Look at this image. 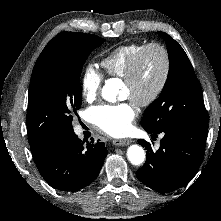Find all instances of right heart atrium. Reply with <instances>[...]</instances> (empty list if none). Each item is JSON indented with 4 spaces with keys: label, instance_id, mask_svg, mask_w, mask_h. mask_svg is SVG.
I'll return each instance as SVG.
<instances>
[{
    "label": "right heart atrium",
    "instance_id": "right-heart-atrium-1",
    "mask_svg": "<svg viewBox=\"0 0 221 221\" xmlns=\"http://www.w3.org/2000/svg\"><path fill=\"white\" fill-rule=\"evenodd\" d=\"M102 74L91 64L85 66L81 75V93L87 102L94 101L101 90Z\"/></svg>",
    "mask_w": 221,
    "mask_h": 221
}]
</instances>
